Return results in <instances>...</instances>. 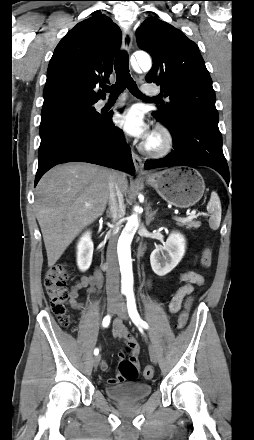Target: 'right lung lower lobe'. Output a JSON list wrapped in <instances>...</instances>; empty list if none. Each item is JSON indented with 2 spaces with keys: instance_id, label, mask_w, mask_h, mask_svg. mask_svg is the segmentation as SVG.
Masks as SVG:
<instances>
[{
  "instance_id": "98d812e1",
  "label": "right lung lower lobe",
  "mask_w": 254,
  "mask_h": 440,
  "mask_svg": "<svg viewBox=\"0 0 254 440\" xmlns=\"http://www.w3.org/2000/svg\"><path fill=\"white\" fill-rule=\"evenodd\" d=\"M112 114H99L95 122L69 127L39 147L35 186L55 165L81 161L134 174L130 147L111 120Z\"/></svg>"
}]
</instances>
